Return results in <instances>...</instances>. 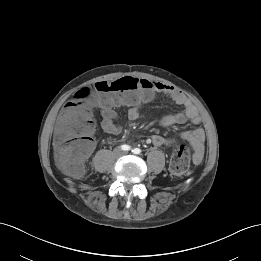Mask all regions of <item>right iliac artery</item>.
Returning <instances> with one entry per match:
<instances>
[{"mask_svg": "<svg viewBox=\"0 0 261 261\" xmlns=\"http://www.w3.org/2000/svg\"><path fill=\"white\" fill-rule=\"evenodd\" d=\"M121 149L124 150V151H129L131 149V147L129 145H121Z\"/></svg>", "mask_w": 261, "mask_h": 261, "instance_id": "82829eb1", "label": "right iliac artery"}]
</instances>
